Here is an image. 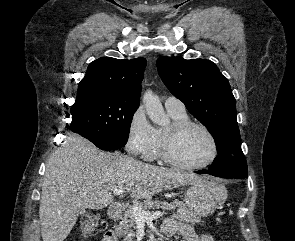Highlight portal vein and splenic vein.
<instances>
[{
  "label": "portal vein and splenic vein",
  "mask_w": 295,
  "mask_h": 241,
  "mask_svg": "<svg viewBox=\"0 0 295 241\" xmlns=\"http://www.w3.org/2000/svg\"><path fill=\"white\" fill-rule=\"evenodd\" d=\"M124 191H125L124 186H118V187L114 188L113 193L115 195H120V194H123ZM132 211H133V214H134L135 219L137 221L153 220V219L158 218L164 214L162 212L145 211L141 207H134Z\"/></svg>",
  "instance_id": "obj_1"
}]
</instances>
